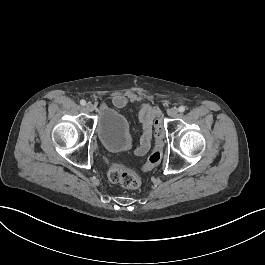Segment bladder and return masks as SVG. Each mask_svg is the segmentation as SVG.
I'll return each mask as SVG.
<instances>
[{"mask_svg": "<svg viewBox=\"0 0 265 265\" xmlns=\"http://www.w3.org/2000/svg\"><path fill=\"white\" fill-rule=\"evenodd\" d=\"M96 132L101 144L108 151H125L132 144V135L127 119L113 108L106 107L101 110Z\"/></svg>", "mask_w": 265, "mask_h": 265, "instance_id": "1", "label": "bladder"}]
</instances>
